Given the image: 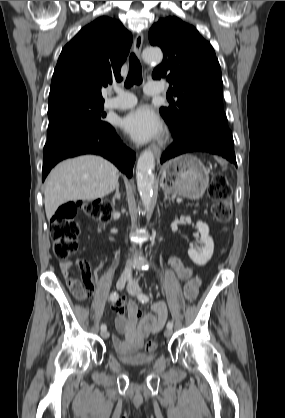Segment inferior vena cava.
<instances>
[{
	"instance_id": "inferior-vena-cava-1",
	"label": "inferior vena cava",
	"mask_w": 285,
	"mask_h": 418,
	"mask_svg": "<svg viewBox=\"0 0 285 418\" xmlns=\"http://www.w3.org/2000/svg\"><path fill=\"white\" fill-rule=\"evenodd\" d=\"M124 275H126V276H130L131 275V268L130 267H126L125 268V270H124Z\"/></svg>"
}]
</instances>
